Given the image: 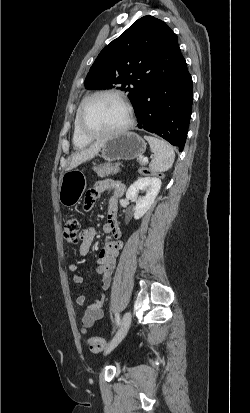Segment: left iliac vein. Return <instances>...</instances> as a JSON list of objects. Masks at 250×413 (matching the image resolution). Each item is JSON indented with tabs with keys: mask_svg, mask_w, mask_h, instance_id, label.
<instances>
[{
	"mask_svg": "<svg viewBox=\"0 0 250 413\" xmlns=\"http://www.w3.org/2000/svg\"><path fill=\"white\" fill-rule=\"evenodd\" d=\"M131 313L130 312H125V314L122 317L121 325L116 333V335L113 337L111 342L109 343L107 349H106V354L111 352L125 337L127 334L130 324H131Z\"/></svg>",
	"mask_w": 250,
	"mask_h": 413,
	"instance_id": "4c4485c4",
	"label": "left iliac vein"
}]
</instances>
